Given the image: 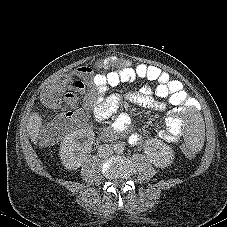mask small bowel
<instances>
[{"label":"small bowel","mask_w":227,"mask_h":227,"mask_svg":"<svg viewBox=\"0 0 227 227\" xmlns=\"http://www.w3.org/2000/svg\"><path fill=\"white\" fill-rule=\"evenodd\" d=\"M118 59L107 57L103 60ZM77 75L82 79L68 78V92L65 93V101L74 111L67 112L62 118L70 122L79 119L81 105L82 109L91 110L93 119L97 123L106 121L117 109L118 99L110 96L104 98V94L110 87L122 83L133 82L136 79H147L155 82V86H144L139 91L130 95V100L139 107L146 109L161 110L167 104L178 108L190 103L189 96L183 88L182 83L171 78L164 70L154 65L138 64L132 65L125 62L123 70L104 71L93 75L89 67L82 66L77 69ZM66 77V76H65ZM79 94H85L80 102ZM159 99H165L166 102ZM129 119L126 116H119L112 125V131L116 136H125L131 145H137L143 140V135L139 132H128ZM166 128L159 133V137L166 142H176L182 136V111L171 112L165 120Z\"/></svg>","instance_id":"small-bowel-1"}]
</instances>
